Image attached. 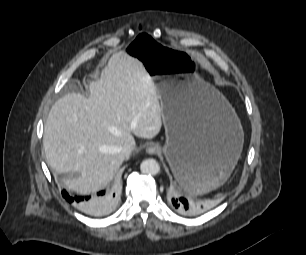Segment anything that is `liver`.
Masks as SVG:
<instances>
[{"label":"liver","instance_id":"obj_1","mask_svg":"<svg viewBox=\"0 0 306 255\" xmlns=\"http://www.w3.org/2000/svg\"><path fill=\"white\" fill-rule=\"evenodd\" d=\"M89 92L88 97L72 92L58 99L43 136L49 166L67 175L62 184L79 194L107 186L125 159L120 148L135 145L133 134L154 138L163 120L154 81L126 52L111 56Z\"/></svg>","mask_w":306,"mask_h":255}]
</instances>
